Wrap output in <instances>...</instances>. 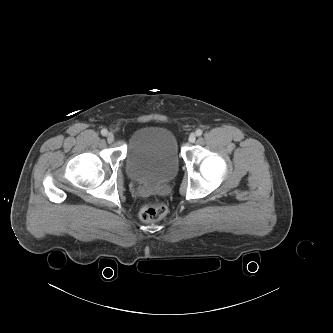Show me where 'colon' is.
Listing matches in <instances>:
<instances>
[{
    "mask_svg": "<svg viewBox=\"0 0 333 333\" xmlns=\"http://www.w3.org/2000/svg\"><path fill=\"white\" fill-rule=\"evenodd\" d=\"M167 206L162 199L148 202L140 210V218L146 222L158 221L165 217Z\"/></svg>",
    "mask_w": 333,
    "mask_h": 333,
    "instance_id": "colon-1",
    "label": "colon"
}]
</instances>
